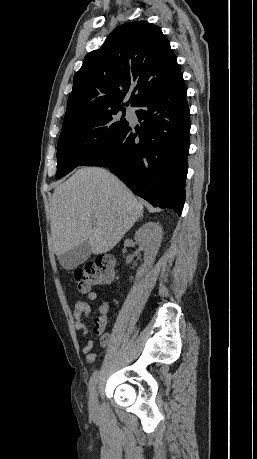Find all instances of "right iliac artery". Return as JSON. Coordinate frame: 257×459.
I'll list each match as a JSON object with an SVG mask.
<instances>
[{"instance_id": "1", "label": "right iliac artery", "mask_w": 257, "mask_h": 459, "mask_svg": "<svg viewBox=\"0 0 257 459\" xmlns=\"http://www.w3.org/2000/svg\"><path fill=\"white\" fill-rule=\"evenodd\" d=\"M98 377H99V371H95L91 378H90V381H89V388L90 390L93 389L98 381Z\"/></svg>"}]
</instances>
